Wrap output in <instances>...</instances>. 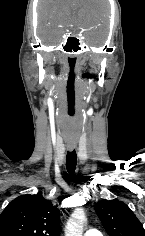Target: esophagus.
<instances>
[{
	"label": "esophagus",
	"mask_w": 145,
	"mask_h": 236,
	"mask_svg": "<svg viewBox=\"0 0 145 236\" xmlns=\"http://www.w3.org/2000/svg\"><path fill=\"white\" fill-rule=\"evenodd\" d=\"M75 143H67V148L69 151H72L75 148Z\"/></svg>",
	"instance_id": "obj_1"
}]
</instances>
